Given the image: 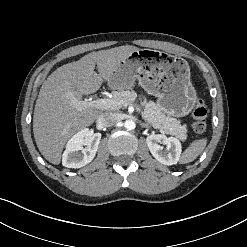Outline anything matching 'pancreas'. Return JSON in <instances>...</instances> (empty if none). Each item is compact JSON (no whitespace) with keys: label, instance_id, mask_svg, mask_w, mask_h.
<instances>
[{"label":"pancreas","instance_id":"cf45deb5","mask_svg":"<svg viewBox=\"0 0 247 247\" xmlns=\"http://www.w3.org/2000/svg\"><path fill=\"white\" fill-rule=\"evenodd\" d=\"M113 99L118 102H134L137 98V93L133 90H120L112 92ZM143 107L142 117L153 127L164 130L167 134L176 136L180 140L186 139V126L181 125L178 120L170 116H166L162 112L158 104L153 101L141 102Z\"/></svg>","mask_w":247,"mask_h":247}]
</instances>
